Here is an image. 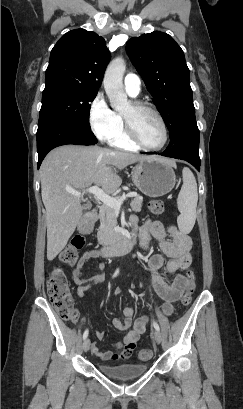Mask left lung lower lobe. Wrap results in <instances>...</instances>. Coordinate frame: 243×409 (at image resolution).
<instances>
[{"label": "left lung lower lobe", "instance_id": "left-lung-lower-lobe-1", "mask_svg": "<svg viewBox=\"0 0 243 409\" xmlns=\"http://www.w3.org/2000/svg\"><path fill=\"white\" fill-rule=\"evenodd\" d=\"M147 154H156L147 152ZM159 155L186 160L198 171L200 170L199 158V130L195 115L186 118L180 125L175 137L171 139L167 149Z\"/></svg>", "mask_w": 243, "mask_h": 409}]
</instances>
